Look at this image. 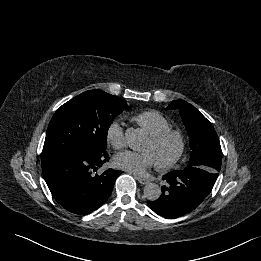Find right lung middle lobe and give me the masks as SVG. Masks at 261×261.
<instances>
[{
  "label": "right lung middle lobe",
  "instance_id": "obj_1",
  "mask_svg": "<svg viewBox=\"0 0 261 261\" xmlns=\"http://www.w3.org/2000/svg\"><path fill=\"white\" fill-rule=\"evenodd\" d=\"M126 107L125 100L97 89L74 97L53 115L42 155L75 150L105 152L107 131Z\"/></svg>",
  "mask_w": 261,
  "mask_h": 261
}]
</instances>
